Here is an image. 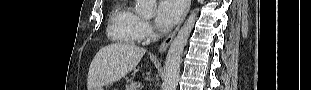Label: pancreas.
Masks as SVG:
<instances>
[{"label": "pancreas", "instance_id": "cf45deb5", "mask_svg": "<svg viewBox=\"0 0 311 90\" xmlns=\"http://www.w3.org/2000/svg\"><path fill=\"white\" fill-rule=\"evenodd\" d=\"M139 89H140V83L139 82H131L125 88V90H139Z\"/></svg>", "mask_w": 311, "mask_h": 90}]
</instances>
